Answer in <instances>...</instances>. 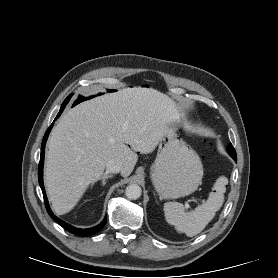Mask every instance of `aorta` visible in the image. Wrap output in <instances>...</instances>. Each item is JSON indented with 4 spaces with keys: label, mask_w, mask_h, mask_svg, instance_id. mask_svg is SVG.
<instances>
[{
    "label": "aorta",
    "mask_w": 278,
    "mask_h": 278,
    "mask_svg": "<svg viewBox=\"0 0 278 278\" xmlns=\"http://www.w3.org/2000/svg\"><path fill=\"white\" fill-rule=\"evenodd\" d=\"M141 187L137 184H130L126 187L125 194L128 199L135 200L141 196Z\"/></svg>",
    "instance_id": "762f6f07"
}]
</instances>
